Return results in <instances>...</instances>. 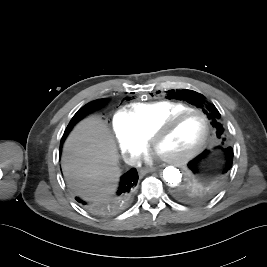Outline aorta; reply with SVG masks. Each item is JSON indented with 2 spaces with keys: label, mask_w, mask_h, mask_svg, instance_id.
Wrapping results in <instances>:
<instances>
[{
  "label": "aorta",
  "mask_w": 267,
  "mask_h": 267,
  "mask_svg": "<svg viewBox=\"0 0 267 267\" xmlns=\"http://www.w3.org/2000/svg\"><path fill=\"white\" fill-rule=\"evenodd\" d=\"M162 177L170 186H177L182 181L183 173L174 166H168L163 170Z\"/></svg>",
  "instance_id": "obj_1"
}]
</instances>
